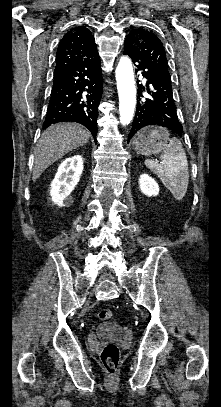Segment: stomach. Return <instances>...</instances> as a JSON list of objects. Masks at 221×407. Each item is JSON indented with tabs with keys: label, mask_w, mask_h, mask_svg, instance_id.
Instances as JSON below:
<instances>
[{
	"label": "stomach",
	"mask_w": 221,
	"mask_h": 407,
	"mask_svg": "<svg viewBox=\"0 0 221 407\" xmlns=\"http://www.w3.org/2000/svg\"><path fill=\"white\" fill-rule=\"evenodd\" d=\"M168 140L169 133L166 129L146 127L136 135L134 147L137 153L149 156L164 151Z\"/></svg>",
	"instance_id": "1"
}]
</instances>
